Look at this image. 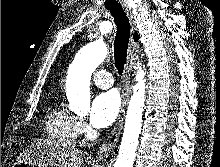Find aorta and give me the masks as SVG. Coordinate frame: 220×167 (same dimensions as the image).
I'll return each mask as SVG.
<instances>
[{"label":"aorta","mask_w":220,"mask_h":167,"mask_svg":"<svg viewBox=\"0 0 220 167\" xmlns=\"http://www.w3.org/2000/svg\"><path fill=\"white\" fill-rule=\"evenodd\" d=\"M107 48L101 40L84 46L75 56L68 70L66 94L70 110L85 116L90 110V80L95 69L104 61ZM136 84L130 98L122 141L114 167H133L139 135L142 127V112L145 103V73L138 64Z\"/></svg>","instance_id":"1"}]
</instances>
